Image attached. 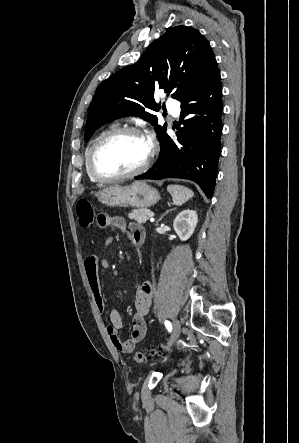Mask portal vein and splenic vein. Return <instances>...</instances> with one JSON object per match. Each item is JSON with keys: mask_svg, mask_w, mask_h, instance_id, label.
Returning a JSON list of instances; mask_svg holds the SVG:
<instances>
[{"mask_svg": "<svg viewBox=\"0 0 299 443\" xmlns=\"http://www.w3.org/2000/svg\"><path fill=\"white\" fill-rule=\"evenodd\" d=\"M148 216H149V217H153V216H154V213L149 212V213H148Z\"/></svg>", "mask_w": 299, "mask_h": 443, "instance_id": "18ae733b", "label": "portal vein and splenic vein"}]
</instances>
